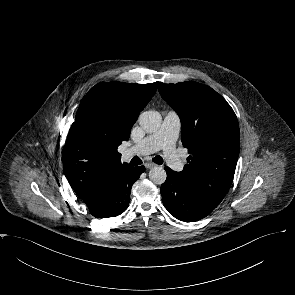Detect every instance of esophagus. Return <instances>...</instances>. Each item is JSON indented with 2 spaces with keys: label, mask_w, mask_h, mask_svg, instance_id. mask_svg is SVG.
I'll return each mask as SVG.
<instances>
[{
  "label": "esophagus",
  "mask_w": 295,
  "mask_h": 295,
  "mask_svg": "<svg viewBox=\"0 0 295 295\" xmlns=\"http://www.w3.org/2000/svg\"><path fill=\"white\" fill-rule=\"evenodd\" d=\"M156 166L157 165L155 163H153V162H147V163H145V167L147 169H151V168L156 167Z\"/></svg>",
  "instance_id": "obj_1"
}]
</instances>
